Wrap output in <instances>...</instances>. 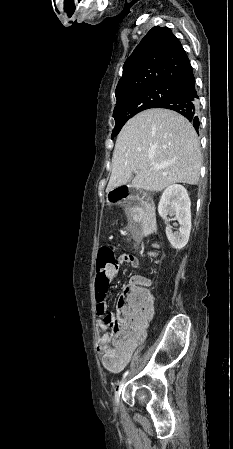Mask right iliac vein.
<instances>
[{
    "mask_svg": "<svg viewBox=\"0 0 233 449\" xmlns=\"http://www.w3.org/2000/svg\"><path fill=\"white\" fill-rule=\"evenodd\" d=\"M127 381V378H125L124 380H122L118 386V388L115 390V394H114V402L116 405H119L120 402V393L121 390L125 384V382Z\"/></svg>",
    "mask_w": 233,
    "mask_h": 449,
    "instance_id": "right-iliac-vein-1",
    "label": "right iliac vein"
}]
</instances>
